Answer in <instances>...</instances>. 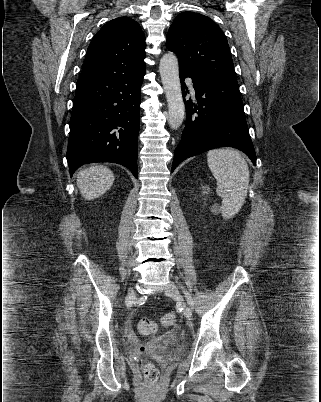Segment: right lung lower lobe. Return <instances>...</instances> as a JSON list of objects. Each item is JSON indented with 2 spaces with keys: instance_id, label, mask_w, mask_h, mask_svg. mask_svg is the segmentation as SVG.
Returning a JSON list of instances; mask_svg holds the SVG:
<instances>
[{
  "instance_id": "98d812e1",
  "label": "right lung lower lobe",
  "mask_w": 321,
  "mask_h": 402,
  "mask_svg": "<svg viewBox=\"0 0 321 402\" xmlns=\"http://www.w3.org/2000/svg\"><path fill=\"white\" fill-rule=\"evenodd\" d=\"M145 71L78 81L70 119V175L81 165L113 162L137 178L140 87Z\"/></svg>"
}]
</instances>
